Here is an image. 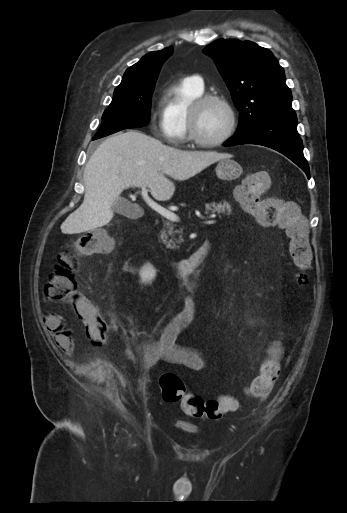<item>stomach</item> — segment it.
<instances>
[{
    "label": "stomach",
    "instance_id": "obj_1",
    "mask_svg": "<svg viewBox=\"0 0 347 513\" xmlns=\"http://www.w3.org/2000/svg\"><path fill=\"white\" fill-rule=\"evenodd\" d=\"M216 175L224 181H232L237 179L243 172L241 165L232 158L221 159L216 168Z\"/></svg>",
    "mask_w": 347,
    "mask_h": 513
}]
</instances>
